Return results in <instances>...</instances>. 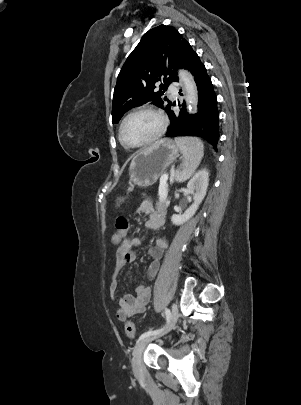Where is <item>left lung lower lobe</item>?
Here are the masks:
<instances>
[{"instance_id": "left-lung-lower-lobe-1", "label": "left lung lower lobe", "mask_w": 301, "mask_h": 405, "mask_svg": "<svg viewBox=\"0 0 301 405\" xmlns=\"http://www.w3.org/2000/svg\"><path fill=\"white\" fill-rule=\"evenodd\" d=\"M194 76L198 88V112L190 115L185 104L179 113L169 110L170 126L167 137L196 136L205 139L216 149L219 141L217 99L204 64L194 52L186 67Z\"/></svg>"}]
</instances>
